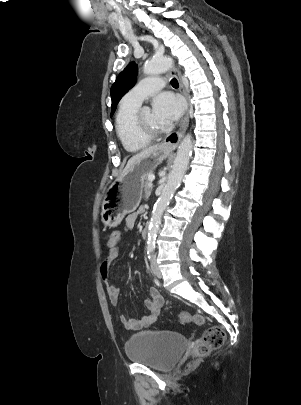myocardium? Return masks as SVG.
Listing matches in <instances>:
<instances>
[{"label":"myocardium","mask_w":301,"mask_h":405,"mask_svg":"<svg viewBox=\"0 0 301 405\" xmlns=\"http://www.w3.org/2000/svg\"><path fill=\"white\" fill-rule=\"evenodd\" d=\"M133 127H134V131L136 132L137 135L152 140L155 138H158L160 136H162L163 134L166 133V129H160V130H156V129H151L148 128L147 126H145L143 119H142V111L138 110V112L136 113L135 117H134V122H133Z\"/></svg>","instance_id":"f54148a6"}]
</instances>
